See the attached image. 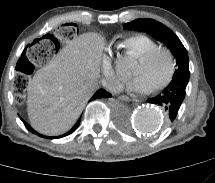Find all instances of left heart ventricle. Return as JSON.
Masks as SVG:
<instances>
[{
  "mask_svg": "<svg viewBox=\"0 0 215 183\" xmlns=\"http://www.w3.org/2000/svg\"><path fill=\"white\" fill-rule=\"evenodd\" d=\"M169 61L164 55H157L148 62L137 60L133 75H141L151 88L165 80L169 73Z\"/></svg>",
  "mask_w": 215,
  "mask_h": 183,
  "instance_id": "b2bd125f",
  "label": "left heart ventricle"
}]
</instances>
